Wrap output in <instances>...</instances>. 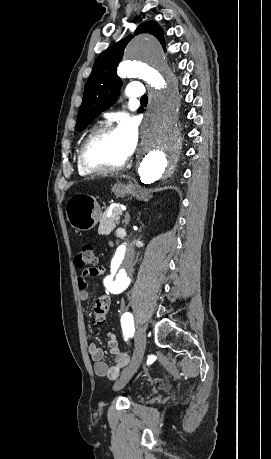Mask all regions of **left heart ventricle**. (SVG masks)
<instances>
[{"label":"left heart ventricle","instance_id":"1","mask_svg":"<svg viewBox=\"0 0 271 459\" xmlns=\"http://www.w3.org/2000/svg\"><path fill=\"white\" fill-rule=\"evenodd\" d=\"M130 154L128 144L119 130L98 139L91 147V156L95 160L117 161Z\"/></svg>","mask_w":271,"mask_h":459}]
</instances>
